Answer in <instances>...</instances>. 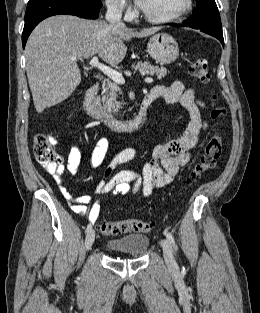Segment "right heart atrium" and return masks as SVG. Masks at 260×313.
Wrapping results in <instances>:
<instances>
[{"mask_svg":"<svg viewBox=\"0 0 260 313\" xmlns=\"http://www.w3.org/2000/svg\"><path fill=\"white\" fill-rule=\"evenodd\" d=\"M105 3L110 14L127 16L130 13V4L127 0H105Z\"/></svg>","mask_w":260,"mask_h":313,"instance_id":"right-heart-atrium-1","label":"right heart atrium"}]
</instances>
